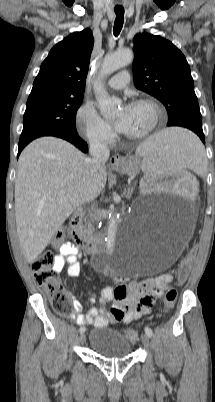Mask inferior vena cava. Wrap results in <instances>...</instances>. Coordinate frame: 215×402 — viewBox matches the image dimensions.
<instances>
[{
    "label": "inferior vena cava",
    "instance_id": "602c4592",
    "mask_svg": "<svg viewBox=\"0 0 215 402\" xmlns=\"http://www.w3.org/2000/svg\"><path fill=\"white\" fill-rule=\"evenodd\" d=\"M90 155L92 156L90 162L94 173H98L109 159L110 151L106 143L99 139L90 140ZM90 218L97 219L98 212L92 207L89 213Z\"/></svg>",
    "mask_w": 215,
    "mask_h": 402
}]
</instances>
